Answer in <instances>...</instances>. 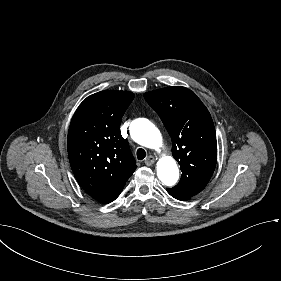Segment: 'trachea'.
I'll return each instance as SVG.
<instances>
[{"mask_svg": "<svg viewBox=\"0 0 281 281\" xmlns=\"http://www.w3.org/2000/svg\"><path fill=\"white\" fill-rule=\"evenodd\" d=\"M136 154H137V158L139 160H143L146 157V151L144 149H142V148H139L137 150Z\"/></svg>", "mask_w": 281, "mask_h": 281, "instance_id": "obj_1", "label": "trachea"}]
</instances>
